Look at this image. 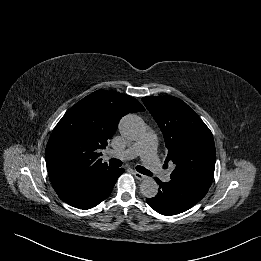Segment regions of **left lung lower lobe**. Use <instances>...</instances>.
Masks as SVG:
<instances>
[{
  "label": "left lung lower lobe",
  "instance_id": "1",
  "mask_svg": "<svg viewBox=\"0 0 261 261\" xmlns=\"http://www.w3.org/2000/svg\"><path fill=\"white\" fill-rule=\"evenodd\" d=\"M159 184L158 194L147 198L146 202L158 213L175 215L197 204L208 192L209 186L191 181L171 179L164 183L155 178Z\"/></svg>",
  "mask_w": 261,
  "mask_h": 261
}]
</instances>
